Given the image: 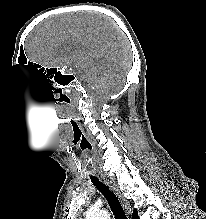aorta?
I'll return each mask as SVG.
<instances>
[{
	"instance_id": "762f6f07",
	"label": "aorta",
	"mask_w": 206,
	"mask_h": 219,
	"mask_svg": "<svg viewBox=\"0 0 206 219\" xmlns=\"http://www.w3.org/2000/svg\"><path fill=\"white\" fill-rule=\"evenodd\" d=\"M86 219H110V217L106 211H99L89 213Z\"/></svg>"
}]
</instances>
